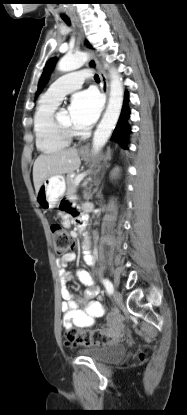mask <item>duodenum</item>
Segmentation results:
<instances>
[{
    "label": "duodenum",
    "instance_id": "1",
    "mask_svg": "<svg viewBox=\"0 0 187 415\" xmlns=\"http://www.w3.org/2000/svg\"><path fill=\"white\" fill-rule=\"evenodd\" d=\"M85 220L83 217L79 216L76 220H75V233L78 236L84 226Z\"/></svg>",
    "mask_w": 187,
    "mask_h": 415
}]
</instances>
